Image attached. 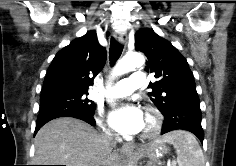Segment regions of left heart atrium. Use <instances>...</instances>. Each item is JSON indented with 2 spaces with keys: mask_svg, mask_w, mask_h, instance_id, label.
<instances>
[{
  "mask_svg": "<svg viewBox=\"0 0 236 166\" xmlns=\"http://www.w3.org/2000/svg\"><path fill=\"white\" fill-rule=\"evenodd\" d=\"M109 123L120 134L134 135L144 129L145 116L137 105L125 104L110 111Z\"/></svg>",
  "mask_w": 236,
  "mask_h": 166,
  "instance_id": "1",
  "label": "left heart atrium"
}]
</instances>
